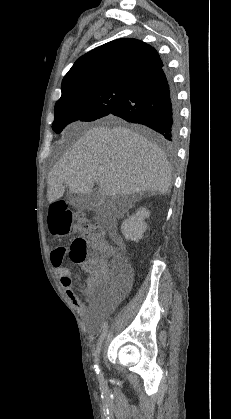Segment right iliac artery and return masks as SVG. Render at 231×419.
<instances>
[{
    "instance_id": "right-iliac-artery-1",
    "label": "right iliac artery",
    "mask_w": 231,
    "mask_h": 419,
    "mask_svg": "<svg viewBox=\"0 0 231 419\" xmlns=\"http://www.w3.org/2000/svg\"><path fill=\"white\" fill-rule=\"evenodd\" d=\"M107 329H108V324H107V323H105V324H104V326H103V331H102V333H101V335H100V337H99V339H98V344H100V343L104 340V338H105V336H106V333H107ZM94 368H95L96 374H97L99 377H101V371H100V369H99V366H98L97 364H95V365H94Z\"/></svg>"
}]
</instances>
